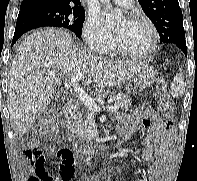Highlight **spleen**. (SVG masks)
<instances>
[{"instance_id": "3e777b00", "label": "spleen", "mask_w": 197, "mask_h": 181, "mask_svg": "<svg viewBox=\"0 0 197 181\" xmlns=\"http://www.w3.org/2000/svg\"><path fill=\"white\" fill-rule=\"evenodd\" d=\"M185 92V81L183 75L177 74L171 83V95L174 98H178L180 96H183Z\"/></svg>"}]
</instances>
